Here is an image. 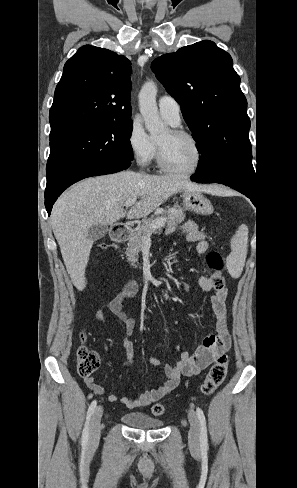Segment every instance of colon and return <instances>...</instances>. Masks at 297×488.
<instances>
[{
	"instance_id": "obj_1",
	"label": "colon",
	"mask_w": 297,
	"mask_h": 488,
	"mask_svg": "<svg viewBox=\"0 0 297 488\" xmlns=\"http://www.w3.org/2000/svg\"><path fill=\"white\" fill-rule=\"evenodd\" d=\"M101 249L113 248V245L102 243L99 245ZM207 263L211 270L210 279L214 288H224V279L222 276V259L216 252H210L207 255ZM228 357L226 355H220L214 364L209 369L206 377L201 385V393L205 396L212 395L215 390L224 381L228 370ZM100 365L98 354L88 348L81 345L77 351V369L78 373L82 377H90ZM166 412V406L162 403H157L152 407V413L155 416H162Z\"/></svg>"
}]
</instances>
